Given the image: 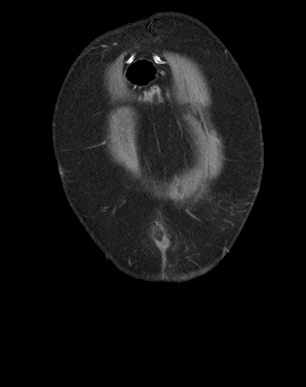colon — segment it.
Here are the masks:
<instances>
[{
    "instance_id": "obj_1",
    "label": "colon",
    "mask_w": 306,
    "mask_h": 387,
    "mask_svg": "<svg viewBox=\"0 0 306 387\" xmlns=\"http://www.w3.org/2000/svg\"><path fill=\"white\" fill-rule=\"evenodd\" d=\"M148 96L150 98L159 97L160 96L159 89L157 87H152Z\"/></svg>"
}]
</instances>
